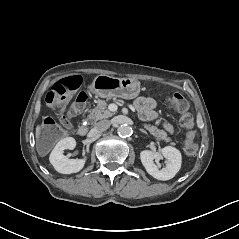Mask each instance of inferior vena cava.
<instances>
[{"label": "inferior vena cava", "mask_w": 239, "mask_h": 239, "mask_svg": "<svg viewBox=\"0 0 239 239\" xmlns=\"http://www.w3.org/2000/svg\"><path fill=\"white\" fill-rule=\"evenodd\" d=\"M110 127L109 120H101L95 124V129L99 132L106 131Z\"/></svg>", "instance_id": "obj_1"}]
</instances>
